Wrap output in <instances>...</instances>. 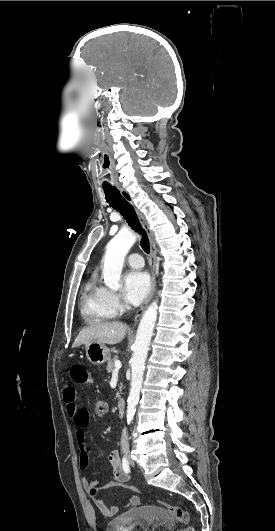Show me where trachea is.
I'll use <instances>...</instances> for the list:
<instances>
[{
  "instance_id": "trachea-1",
  "label": "trachea",
  "mask_w": 275,
  "mask_h": 531,
  "mask_svg": "<svg viewBox=\"0 0 275 531\" xmlns=\"http://www.w3.org/2000/svg\"><path fill=\"white\" fill-rule=\"evenodd\" d=\"M106 195V201L112 208L119 211L129 226L141 235L140 245L145 253H150L149 238L142 228L133 206L120 194V191L114 186H103Z\"/></svg>"
}]
</instances>
